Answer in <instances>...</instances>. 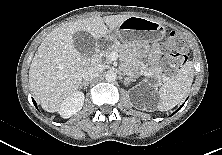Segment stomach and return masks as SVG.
I'll list each match as a JSON object with an SVG mask.
<instances>
[{"mask_svg": "<svg viewBox=\"0 0 222 155\" xmlns=\"http://www.w3.org/2000/svg\"><path fill=\"white\" fill-rule=\"evenodd\" d=\"M165 27L157 21L143 17L131 16L126 19L112 34L105 37L110 42L121 40L124 44L138 46L161 40L165 36Z\"/></svg>", "mask_w": 222, "mask_h": 155, "instance_id": "stomach-1", "label": "stomach"}]
</instances>
